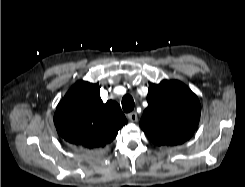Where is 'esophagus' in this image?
Instances as JSON below:
<instances>
[{"instance_id":"obj_1","label":"esophagus","mask_w":245,"mask_h":187,"mask_svg":"<svg viewBox=\"0 0 245 187\" xmlns=\"http://www.w3.org/2000/svg\"><path fill=\"white\" fill-rule=\"evenodd\" d=\"M127 117L131 122H137V120H138V116H137L136 112L128 113Z\"/></svg>"}]
</instances>
